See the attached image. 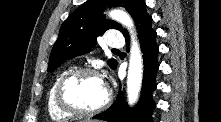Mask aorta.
I'll return each mask as SVG.
<instances>
[{"label":"aorta","mask_w":221,"mask_h":122,"mask_svg":"<svg viewBox=\"0 0 221 122\" xmlns=\"http://www.w3.org/2000/svg\"><path fill=\"white\" fill-rule=\"evenodd\" d=\"M109 15L113 20L124 25L131 34L130 60L127 76V96L128 103L133 105L138 99L143 76V60L140 47L136 39L131 17L122 10H113Z\"/></svg>","instance_id":"1"}]
</instances>
